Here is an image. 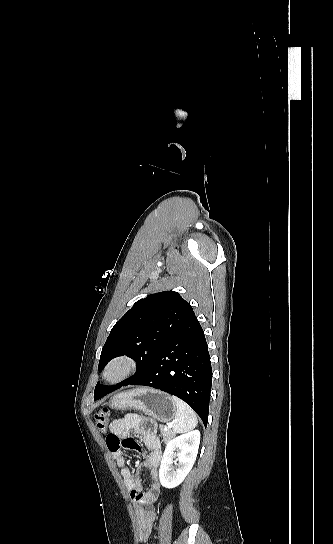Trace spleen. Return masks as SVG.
Listing matches in <instances>:
<instances>
[{
    "instance_id": "3e777b00",
    "label": "spleen",
    "mask_w": 333,
    "mask_h": 544,
    "mask_svg": "<svg viewBox=\"0 0 333 544\" xmlns=\"http://www.w3.org/2000/svg\"><path fill=\"white\" fill-rule=\"evenodd\" d=\"M172 400L176 405L175 420L173 431L175 433H183L192 430L197 426V417L192 408L183 400L176 396H172Z\"/></svg>"
}]
</instances>
